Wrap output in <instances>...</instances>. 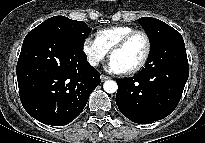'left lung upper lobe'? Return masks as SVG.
<instances>
[{
	"label": "left lung upper lobe",
	"instance_id": "left-lung-upper-lobe-1",
	"mask_svg": "<svg viewBox=\"0 0 205 143\" xmlns=\"http://www.w3.org/2000/svg\"><path fill=\"white\" fill-rule=\"evenodd\" d=\"M139 23L146 30V33L150 39L151 50L159 45L163 40L171 35L178 34L174 28L168 24L152 17H142L139 19ZM152 53L150 52L148 60L145 65V69L154 65L155 59H153Z\"/></svg>",
	"mask_w": 205,
	"mask_h": 143
}]
</instances>
